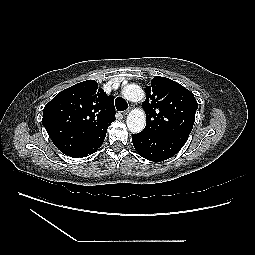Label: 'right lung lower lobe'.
I'll list each match as a JSON object with an SVG mask.
<instances>
[{
  "mask_svg": "<svg viewBox=\"0 0 255 255\" xmlns=\"http://www.w3.org/2000/svg\"><path fill=\"white\" fill-rule=\"evenodd\" d=\"M105 136H106V131L97 135L92 140H90L78 154H76L75 156H72V157H74V158L81 157L82 158V157H86V156L93 154L102 145V143L105 139Z\"/></svg>",
  "mask_w": 255,
  "mask_h": 255,
  "instance_id": "98d812e1",
  "label": "right lung lower lobe"
}]
</instances>
